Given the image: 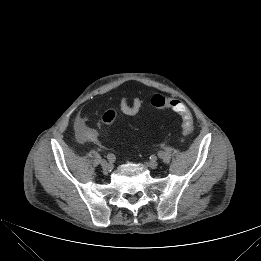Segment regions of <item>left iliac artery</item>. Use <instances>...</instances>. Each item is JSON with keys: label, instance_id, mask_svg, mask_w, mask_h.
<instances>
[{"label": "left iliac artery", "instance_id": "1", "mask_svg": "<svg viewBox=\"0 0 261 261\" xmlns=\"http://www.w3.org/2000/svg\"><path fill=\"white\" fill-rule=\"evenodd\" d=\"M157 156H158L159 159H164L165 153H164L163 151H159V152L157 153Z\"/></svg>", "mask_w": 261, "mask_h": 261}]
</instances>
